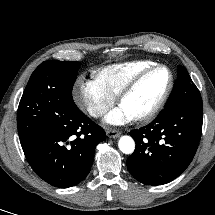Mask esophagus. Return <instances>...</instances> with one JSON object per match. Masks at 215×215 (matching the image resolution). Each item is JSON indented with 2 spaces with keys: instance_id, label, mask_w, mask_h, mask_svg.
Here are the masks:
<instances>
[{
  "instance_id": "obj_1",
  "label": "esophagus",
  "mask_w": 215,
  "mask_h": 215,
  "mask_svg": "<svg viewBox=\"0 0 215 215\" xmlns=\"http://www.w3.org/2000/svg\"><path fill=\"white\" fill-rule=\"evenodd\" d=\"M106 134L110 138H117L121 135V132L115 129H110V130H107Z\"/></svg>"
}]
</instances>
